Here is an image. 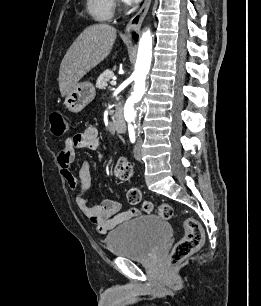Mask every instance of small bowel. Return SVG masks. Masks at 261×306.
I'll return each instance as SVG.
<instances>
[{
  "mask_svg": "<svg viewBox=\"0 0 261 306\" xmlns=\"http://www.w3.org/2000/svg\"><path fill=\"white\" fill-rule=\"evenodd\" d=\"M75 149H89L101 155V141L99 131L95 126H88L82 132L65 139V146L59 152L57 162L61 175L71 189H77L75 198L77 207L93 223L97 231L105 234L124 221L137 214L136 209L121 211V204L111 199H104L99 204L91 205L85 197V192L91 185V171L88 161H84L77 176L73 173L71 165L75 158Z\"/></svg>",
  "mask_w": 261,
  "mask_h": 306,
  "instance_id": "c3829d8e",
  "label": "small bowel"
}]
</instances>
